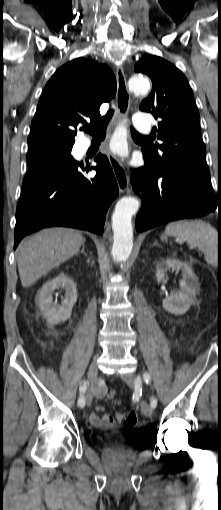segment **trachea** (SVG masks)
<instances>
[{"label": "trachea", "instance_id": "3493384b", "mask_svg": "<svg viewBox=\"0 0 221 510\" xmlns=\"http://www.w3.org/2000/svg\"><path fill=\"white\" fill-rule=\"evenodd\" d=\"M113 113H114V110L110 109L95 127H91V128L87 127V128H84L83 130L85 132L89 133L90 135H92L93 140L104 139L105 135H106V129H107L108 123H109L110 119L112 118ZM131 134H132V136L144 137L141 134H139L138 132H136L132 127H131Z\"/></svg>", "mask_w": 221, "mask_h": 510}]
</instances>
